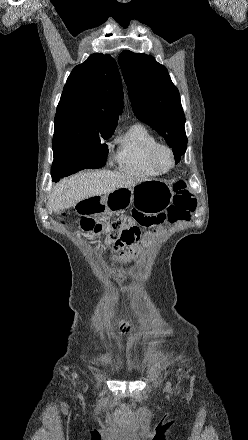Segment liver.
I'll return each mask as SVG.
<instances>
[{"label":"liver","mask_w":248,"mask_h":440,"mask_svg":"<svg viewBox=\"0 0 248 440\" xmlns=\"http://www.w3.org/2000/svg\"><path fill=\"white\" fill-rule=\"evenodd\" d=\"M143 181L145 180L121 172L107 170L80 172L55 186L48 196L47 208L50 214L60 215L80 201L105 195L119 188L134 187Z\"/></svg>","instance_id":"1"}]
</instances>
